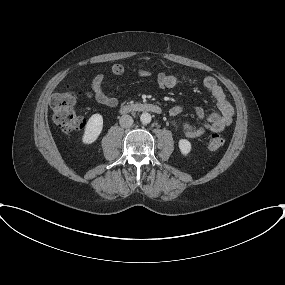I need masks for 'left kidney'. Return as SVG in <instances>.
<instances>
[{
  "label": "left kidney",
  "instance_id": "1",
  "mask_svg": "<svg viewBox=\"0 0 285 285\" xmlns=\"http://www.w3.org/2000/svg\"><path fill=\"white\" fill-rule=\"evenodd\" d=\"M179 149L183 155H188L191 151V143L187 139H180L179 140Z\"/></svg>",
  "mask_w": 285,
  "mask_h": 285
}]
</instances>
